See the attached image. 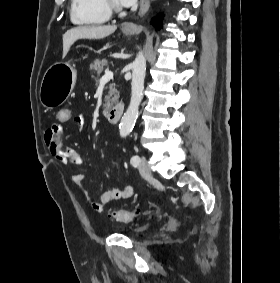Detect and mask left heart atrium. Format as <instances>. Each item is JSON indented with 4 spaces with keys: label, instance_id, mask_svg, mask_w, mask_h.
Instances as JSON below:
<instances>
[{
    "label": "left heart atrium",
    "instance_id": "obj_1",
    "mask_svg": "<svg viewBox=\"0 0 280 283\" xmlns=\"http://www.w3.org/2000/svg\"><path fill=\"white\" fill-rule=\"evenodd\" d=\"M137 0H119V3L124 7H130L136 3Z\"/></svg>",
    "mask_w": 280,
    "mask_h": 283
}]
</instances>
